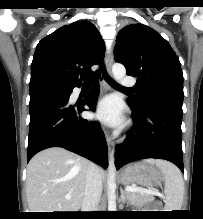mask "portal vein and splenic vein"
Here are the masks:
<instances>
[{
	"mask_svg": "<svg viewBox=\"0 0 203 219\" xmlns=\"http://www.w3.org/2000/svg\"><path fill=\"white\" fill-rule=\"evenodd\" d=\"M125 190L129 191V192H140V193H147V194H158V192H156L155 190H148V189H142V188L131 187V186L125 187ZM65 198L66 199H70L71 196L70 195H66Z\"/></svg>",
	"mask_w": 203,
	"mask_h": 219,
	"instance_id": "portal-vein-and-splenic-vein-1",
	"label": "portal vein and splenic vein"
}]
</instances>
